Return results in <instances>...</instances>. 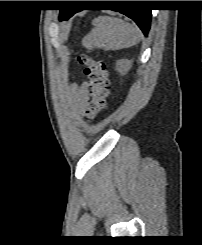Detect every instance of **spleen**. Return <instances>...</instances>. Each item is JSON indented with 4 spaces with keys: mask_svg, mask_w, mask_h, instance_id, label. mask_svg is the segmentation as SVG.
<instances>
[{
    "mask_svg": "<svg viewBox=\"0 0 202 245\" xmlns=\"http://www.w3.org/2000/svg\"><path fill=\"white\" fill-rule=\"evenodd\" d=\"M93 23L94 28L82 41L88 49L120 50L136 45L141 40L139 29L119 18L99 16Z\"/></svg>",
    "mask_w": 202,
    "mask_h": 245,
    "instance_id": "1",
    "label": "spleen"
}]
</instances>
